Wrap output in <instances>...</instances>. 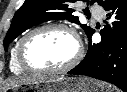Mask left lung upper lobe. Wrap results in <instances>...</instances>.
<instances>
[{"mask_svg":"<svg viewBox=\"0 0 127 92\" xmlns=\"http://www.w3.org/2000/svg\"><path fill=\"white\" fill-rule=\"evenodd\" d=\"M93 4L97 2L100 6L106 7L115 0H84ZM75 0H25L24 4L15 13L9 31L4 40V49L7 51L8 45L22 32L32 26L48 20H64L81 25L85 33L90 35L94 30L80 24L78 17L72 15L75 11L72 3Z\"/></svg>","mask_w":127,"mask_h":92,"instance_id":"1","label":"left lung upper lobe"}]
</instances>
